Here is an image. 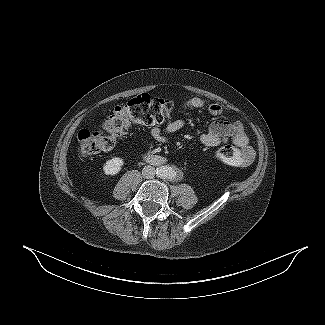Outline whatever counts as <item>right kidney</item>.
Instances as JSON below:
<instances>
[{
    "instance_id": "right-kidney-1",
    "label": "right kidney",
    "mask_w": 325,
    "mask_h": 325,
    "mask_svg": "<svg viewBox=\"0 0 325 325\" xmlns=\"http://www.w3.org/2000/svg\"><path fill=\"white\" fill-rule=\"evenodd\" d=\"M124 164L122 158L113 157L110 160H107L103 166V171L106 175H115L118 174Z\"/></svg>"
}]
</instances>
